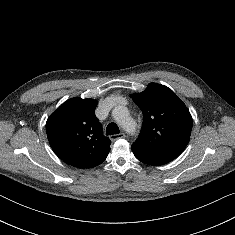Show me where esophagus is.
Instances as JSON below:
<instances>
[{"label": "esophagus", "mask_w": 235, "mask_h": 235, "mask_svg": "<svg viewBox=\"0 0 235 235\" xmlns=\"http://www.w3.org/2000/svg\"><path fill=\"white\" fill-rule=\"evenodd\" d=\"M125 137V134L124 133H120V134H114V135H111L110 136V140L112 142L116 141L117 139L119 138H124Z\"/></svg>", "instance_id": "esophagus-1"}]
</instances>
